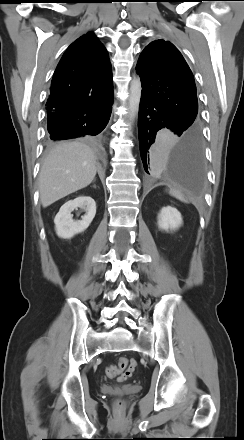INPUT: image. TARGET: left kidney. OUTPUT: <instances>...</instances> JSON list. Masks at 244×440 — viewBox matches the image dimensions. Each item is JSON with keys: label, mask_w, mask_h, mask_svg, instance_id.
<instances>
[{"label": "left kidney", "mask_w": 244, "mask_h": 440, "mask_svg": "<svg viewBox=\"0 0 244 440\" xmlns=\"http://www.w3.org/2000/svg\"><path fill=\"white\" fill-rule=\"evenodd\" d=\"M180 212L173 207H163L158 215V226L161 230H176L182 225Z\"/></svg>", "instance_id": "5707ae66"}]
</instances>
